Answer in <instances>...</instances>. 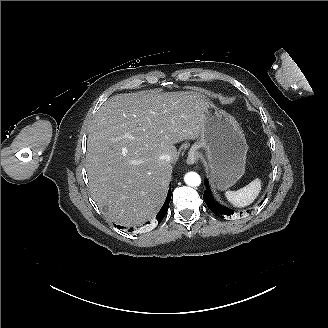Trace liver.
Segmentation results:
<instances>
[{
  "label": "liver",
  "instance_id": "1",
  "mask_svg": "<svg viewBox=\"0 0 328 328\" xmlns=\"http://www.w3.org/2000/svg\"><path fill=\"white\" fill-rule=\"evenodd\" d=\"M206 104L198 92L145 91L101 106L89 129L85 169L105 217L133 226L156 214L178 159L174 144L200 138Z\"/></svg>",
  "mask_w": 328,
  "mask_h": 328
}]
</instances>
